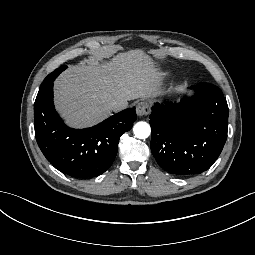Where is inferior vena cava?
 Returning a JSON list of instances; mask_svg holds the SVG:
<instances>
[{"label": "inferior vena cava", "instance_id": "inferior-vena-cava-1", "mask_svg": "<svg viewBox=\"0 0 255 255\" xmlns=\"http://www.w3.org/2000/svg\"><path fill=\"white\" fill-rule=\"evenodd\" d=\"M110 108L111 110L113 111H119L121 109H124V105H123V101H112L111 104H110Z\"/></svg>", "mask_w": 255, "mask_h": 255}]
</instances>
